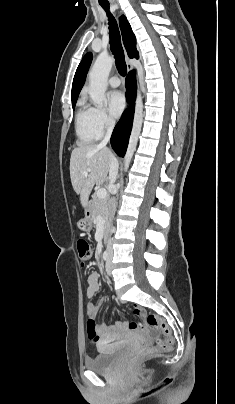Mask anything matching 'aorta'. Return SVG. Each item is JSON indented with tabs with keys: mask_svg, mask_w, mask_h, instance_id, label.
Here are the masks:
<instances>
[{
	"mask_svg": "<svg viewBox=\"0 0 235 404\" xmlns=\"http://www.w3.org/2000/svg\"><path fill=\"white\" fill-rule=\"evenodd\" d=\"M114 58L108 54L98 55L89 73V94L95 106L102 107L106 103L105 92L108 85V76L112 69ZM143 123V101L138 87L135 103L133 127L129 139L128 148L124 157V170L127 171L136 150Z\"/></svg>",
	"mask_w": 235,
	"mask_h": 404,
	"instance_id": "762f6f07",
	"label": "aorta"
}]
</instances>
